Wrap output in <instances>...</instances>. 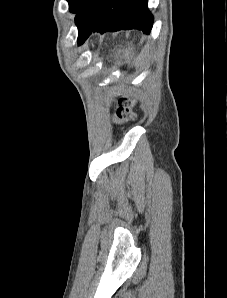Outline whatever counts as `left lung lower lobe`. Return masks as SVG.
Returning <instances> with one entry per match:
<instances>
[{"label": "left lung lower lobe", "mask_w": 227, "mask_h": 298, "mask_svg": "<svg viewBox=\"0 0 227 298\" xmlns=\"http://www.w3.org/2000/svg\"><path fill=\"white\" fill-rule=\"evenodd\" d=\"M153 16L147 8V0H107L104 10L92 32H114L138 29L149 34L152 29ZM78 41L83 43L88 36Z\"/></svg>", "instance_id": "0a47b994"}]
</instances>
